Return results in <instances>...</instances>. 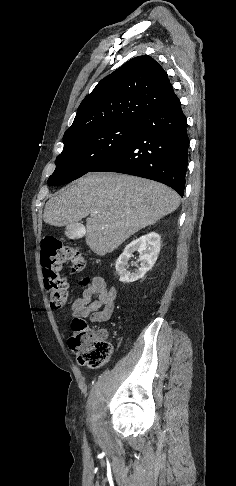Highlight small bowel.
Segmentation results:
<instances>
[{
    "instance_id": "c3829d8e",
    "label": "small bowel",
    "mask_w": 236,
    "mask_h": 486,
    "mask_svg": "<svg viewBox=\"0 0 236 486\" xmlns=\"http://www.w3.org/2000/svg\"><path fill=\"white\" fill-rule=\"evenodd\" d=\"M116 296V289L110 286L105 278L96 275L91 284L84 288L82 296L72 303V316L89 318L92 323L105 322L114 312ZM98 332L107 338V330L100 329Z\"/></svg>"
}]
</instances>
